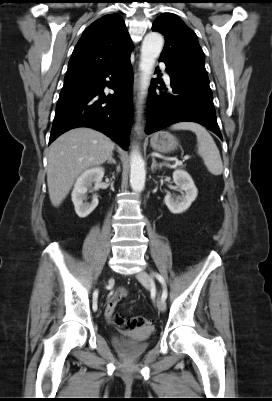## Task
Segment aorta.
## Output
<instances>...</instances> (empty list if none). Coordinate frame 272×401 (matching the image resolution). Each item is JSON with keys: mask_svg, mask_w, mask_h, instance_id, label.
<instances>
[{"mask_svg": "<svg viewBox=\"0 0 272 401\" xmlns=\"http://www.w3.org/2000/svg\"><path fill=\"white\" fill-rule=\"evenodd\" d=\"M164 39L161 34L156 32L148 33L142 42L140 70H141V95H145L149 86L155 61L160 56L163 49ZM146 171L144 161L134 149L130 159V185L134 192H141L145 186Z\"/></svg>", "mask_w": 272, "mask_h": 401, "instance_id": "762f6f07", "label": "aorta"}]
</instances>
